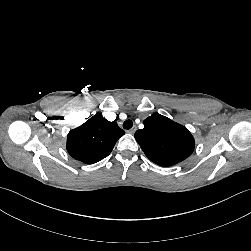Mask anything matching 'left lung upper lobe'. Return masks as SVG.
<instances>
[{
    "instance_id": "5c2ea615",
    "label": "left lung upper lobe",
    "mask_w": 251,
    "mask_h": 251,
    "mask_svg": "<svg viewBox=\"0 0 251 251\" xmlns=\"http://www.w3.org/2000/svg\"><path fill=\"white\" fill-rule=\"evenodd\" d=\"M135 139L152 162L164 167L188 158L195 146L186 127L158 113L144 120V128L136 131Z\"/></svg>"
}]
</instances>
